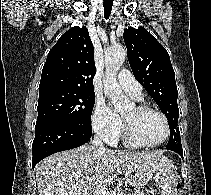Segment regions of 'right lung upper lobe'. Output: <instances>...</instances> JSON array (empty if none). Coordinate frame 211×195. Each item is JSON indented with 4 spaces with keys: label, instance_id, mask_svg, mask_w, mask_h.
<instances>
[{
    "label": "right lung upper lobe",
    "instance_id": "right-lung-upper-lobe-1",
    "mask_svg": "<svg viewBox=\"0 0 211 195\" xmlns=\"http://www.w3.org/2000/svg\"><path fill=\"white\" fill-rule=\"evenodd\" d=\"M96 73L94 47L88 30L75 26L49 51L43 66L39 92L51 89L93 91Z\"/></svg>",
    "mask_w": 211,
    "mask_h": 195
}]
</instances>
